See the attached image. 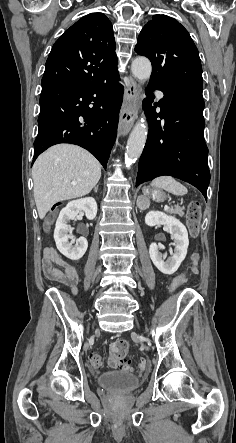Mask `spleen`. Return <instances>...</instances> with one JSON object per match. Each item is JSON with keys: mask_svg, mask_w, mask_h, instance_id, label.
Segmentation results:
<instances>
[{"mask_svg": "<svg viewBox=\"0 0 236 443\" xmlns=\"http://www.w3.org/2000/svg\"><path fill=\"white\" fill-rule=\"evenodd\" d=\"M152 187L162 188L176 196H184L188 193L187 188L171 176H161L151 182Z\"/></svg>", "mask_w": 236, "mask_h": 443, "instance_id": "obj_1", "label": "spleen"}]
</instances>
